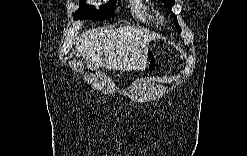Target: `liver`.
<instances>
[{"label":"liver","mask_w":247,"mask_h":156,"mask_svg":"<svg viewBox=\"0 0 247 156\" xmlns=\"http://www.w3.org/2000/svg\"><path fill=\"white\" fill-rule=\"evenodd\" d=\"M153 34L133 26L102 27L84 33L76 42L77 55L86 58L88 68L132 71L146 67Z\"/></svg>","instance_id":"obj_1"}]
</instances>
